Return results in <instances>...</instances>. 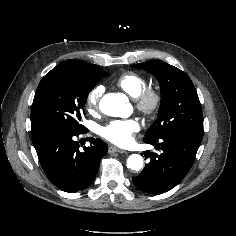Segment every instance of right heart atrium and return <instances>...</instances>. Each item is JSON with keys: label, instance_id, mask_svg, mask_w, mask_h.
Wrapping results in <instances>:
<instances>
[{"label": "right heart atrium", "instance_id": "right-heart-atrium-1", "mask_svg": "<svg viewBox=\"0 0 236 236\" xmlns=\"http://www.w3.org/2000/svg\"><path fill=\"white\" fill-rule=\"evenodd\" d=\"M103 92L104 87L97 85L87 94L86 107L90 113H96L98 111Z\"/></svg>", "mask_w": 236, "mask_h": 236}]
</instances>
